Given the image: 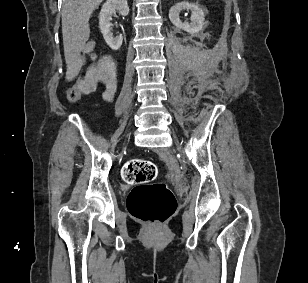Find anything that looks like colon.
Listing matches in <instances>:
<instances>
[{
	"label": "colon",
	"mask_w": 308,
	"mask_h": 283,
	"mask_svg": "<svg viewBox=\"0 0 308 283\" xmlns=\"http://www.w3.org/2000/svg\"><path fill=\"white\" fill-rule=\"evenodd\" d=\"M96 48V42L89 40L83 46L82 56L89 58ZM83 68L75 84L67 90V98L76 102L83 93ZM157 176L156 165L148 160L131 159L122 168L123 180L133 185L127 198V207L133 217L151 225H162L174 213L176 200L170 188L164 183H152Z\"/></svg>",
	"instance_id": "5ec220e1"
}]
</instances>
